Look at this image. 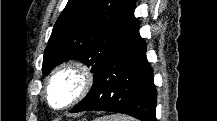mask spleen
Listing matches in <instances>:
<instances>
[{
    "label": "spleen",
    "instance_id": "3e777b00",
    "mask_svg": "<svg viewBox=\"0 0 217 121\" xmlns=\"http://www.w3.org/2000/svg\"><path fill=\"white\" fill-rule=\"evenodd\" d=\"M97 121H132L129 117L123 115H110L103 117L101 119H97Z\"/></svg>",
    "mask_w": 217,
    "mask_h": 121
}]
</instances>
